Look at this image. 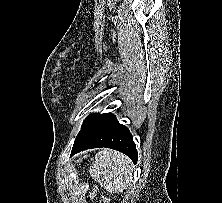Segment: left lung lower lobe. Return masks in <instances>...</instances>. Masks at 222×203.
I'll return each instance as SVG.
<instances>
[{"label": "left lung lower lobe", "mask_w": 222, "mask_h": 203, "mask_svg": "<svg viewBox=\"0 0 222 203\" xmlns=\"http://www.w3.org/2000/svg\"><path fill=\"white\" fill-rule=\"evenodd\" d=\"M106 147L120 151L134 163L137 162V151L132 135L127 127L119 124L111 113L94 115L84 130L76 137L71 156L80 151Z\"/></svg>", "instance_id": "0a47b994"}]
</instances>
